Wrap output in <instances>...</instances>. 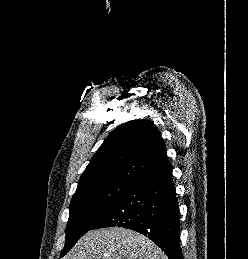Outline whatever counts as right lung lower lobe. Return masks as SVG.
Returning a JSON list of instances; mask_svg holds the SVG:
<instances>
[{"label": "right lung lower lobe", "mask_w": 248, "mask_h": 259, "mask_svg": "<svg viewBox=\"0 0 248 259\" xmlns=\"http://www.w3.org/2000/svg\"><path fill=\"white\" fill-rule=\"evenodd\" d=\"M179 217L170 165L134 182L92 229H132L156 243L169 259H183Z\"/></svg>", "instance_id": "obj_1"}]
</instances>
